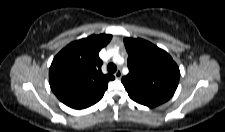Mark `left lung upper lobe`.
Returning a JSON list of instances; mask_svg holds the SVG:
<instances>
[{
    "label": "left lung upper lobe",
    "instance_id": "obj_1",
    "mask_svg": "<svg viewBox=\"0 0 225 132\" xmlns=\"http://www.w3.org/2000/svg\"><path fill=\"white\" fill-rule=\"evenodd\" d=\"M124 44L129 74L121 81L129 97L149 107L168 101L180 79L179 67L171 56L143 39L124 38Z\"/></svg>",
    "mask_w": 225,
    "mask_h": 132
}]
</instances>
